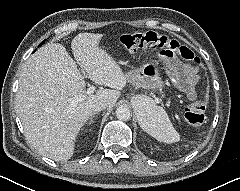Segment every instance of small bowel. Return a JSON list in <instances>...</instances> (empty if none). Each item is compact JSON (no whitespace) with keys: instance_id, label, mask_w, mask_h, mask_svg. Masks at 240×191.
<instances>
[{"instance_id":"1","label":"small bowel","mask_w":240,"mask_h":191,"mask_svg":"<svg viewBox=\"0 0 240 191\" xmlns=\"http://www.w3.org/2000/svg\"><path fill=\"white\" fill-rule=\"evenodd\" d=\"M171 68L175 75L177 85L187 94L189 99L193 101L195 99L194 87L198 81L197 68L188 64L176 63H173Z\"/></svg>"}]
</instances>
